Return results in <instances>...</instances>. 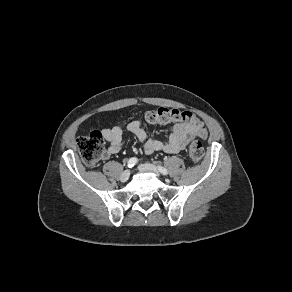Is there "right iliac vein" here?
Listing matches in <instances>:
<instances>
[{
  "mask_svg": "<svg viewBox=\"0 0 292 292\" xmlns=\"http://www.w3.org/2000/svg\"><path fill=\"white\" fill-rule=\"evenodd\" d=\"M130 177V171L129 170H125L121 176H120V181L121 182H126Z\"/></svg>",
  "mask_w": 292,
  "mask_h": 292,
  "instance_id": "63e3f726",
  "label": "right iliac vein"
}]
</instances>
